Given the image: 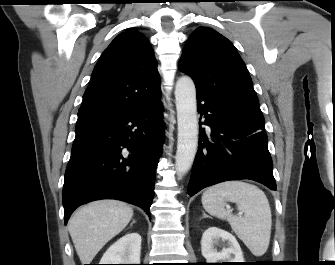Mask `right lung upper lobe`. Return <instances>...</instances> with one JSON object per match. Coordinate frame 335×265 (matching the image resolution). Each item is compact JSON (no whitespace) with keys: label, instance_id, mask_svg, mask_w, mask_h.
Instances as JSON below:
<instances>
[{"label":"right lung upper lobe","instance_id":"1","mask_svg":"<svg viewBox=\"0 0 335 265\" xmlns=\"http://www.w3.org/2000/svg\"><path fill=\"white\" fill-rule=\"evenodd\" d=\"M157 62L147 38L136 30L118 35L94 67L77 125L108 119L161 98Z\"/></svg>","mask_w":335,"mask_h":265}]
</instances>
